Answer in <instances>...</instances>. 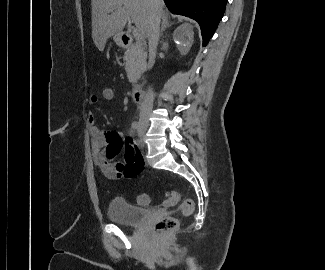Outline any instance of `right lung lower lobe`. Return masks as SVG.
I'll return each instance as SVG.
<instances>
[{
  "mask_svg": "<svg viewBox=\"0 0 325 270\" xmlns=\"http://www.w3.org/2000/svg\"><path fill=\"white\" fill-rule=\"evenodd\" d=\"M228 0H164L173 14H180L196 20L201 28L203 46L213 36L222 19Z\"/></svg>",
  "mask_w": 325,
  "mask_h": 270,
  "instance_id": "right-lung-lower-lobe-1",
  "label": "right lung lower lobe"
}]
</instances>
